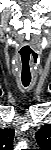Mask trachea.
Masks as SVG:
<instances>
[{
    "mask_svg": "<svg viewBox=\"0 0 51 150\" xmlns=\"http://www.w3.org/2000/svg\"><path fill=\"white\" fill-rule=\"evenodd\" d=\"M31 78H22V83L25 87L30 84Z\"/></svg>",
    "mask_w": 51,
    "mask_h": 150,
    "instance_id": "1",
    "label": "trachea"
}]
</instances>
